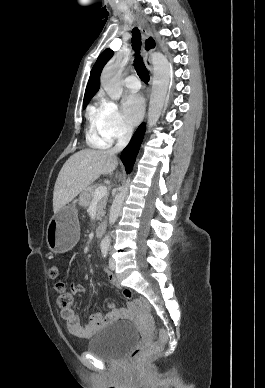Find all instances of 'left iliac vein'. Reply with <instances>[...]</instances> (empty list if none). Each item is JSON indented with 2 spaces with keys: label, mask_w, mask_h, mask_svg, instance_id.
<instances>
[{
  "label": "left iliac vein",
  "mask_w": 265,
  "mask_h": 388,
  "mask_svg": "<svg viewBox=\"0 0 265 388\" xmlns=\"http://www.w3.org/2000/svg\"><path fill=\"white\" fill-rule=\"evenodd\" d=\"M109 268L112 271L115 270V261L112 258H110V260H109Z\"/></svg>",
  "instance_id": "4c4485c4"
}]
</instances>
